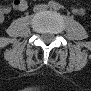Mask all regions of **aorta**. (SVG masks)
Listing matches in <instances>:
<instances>
[{
    "label": "aorta",
    "instance_id": "obj_1",
    "mask_svg": "<svg viewBox=\"0 0 91 91\" xmlns=\"http://www.w3.org/2000/svg\"><path fill=\"white\" fill-rule=\"evenodd\" d=\"M51 7L54 8V9H58L59 8V4L54 3V4L51 5Z\"/></svg>",
    "mask_w": 91,
    "mask_h": 91
}]
</instances>
